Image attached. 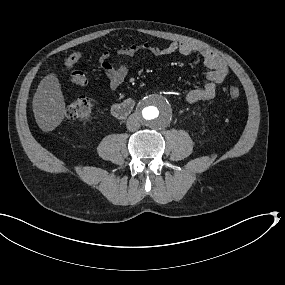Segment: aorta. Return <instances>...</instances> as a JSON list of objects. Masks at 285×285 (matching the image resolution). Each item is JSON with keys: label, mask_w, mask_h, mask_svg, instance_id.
Instances as JSON below:
<instances>
[{"label": "aorta", "mask_w": 285, "mask_h": 285, "mask_svg": "<svg viewBox=\"0 0 285 285\" xmlns=\"http://www.w3.org/2000/svg\"><path fill=\"white\" fill-rule=\"evenodd\" d=\"M142 123L149 129L161 130L172 121L173 109L164 98L152 96L144 100L140 108Z\"/></svg>", "instance_id": "1"}]
</instances>
